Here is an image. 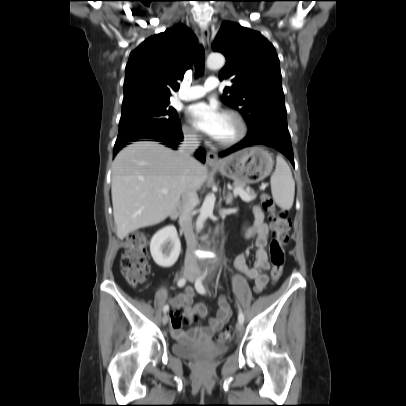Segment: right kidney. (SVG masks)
Wrapping results in <instances>:
<instances>
[{
  "instance_id": "obj_1",
  "label": "right kidney",
  "mask_w": 406,
  "mask_h": 406,
  "mask_svg": "<svg viewBox=\"0 0 406 406\" xmlns=\"http://www.w3.org/2000/svg\"><path fill=\"white\" fill-rule=\"evenodd\" d=\"M181 251V243L176 228L167 226L152 237L150 252L155 263L168 268L175 264Z\"/></svg>"
}]
</instances>
